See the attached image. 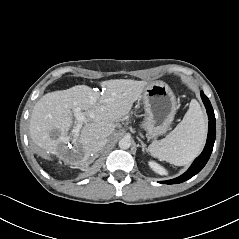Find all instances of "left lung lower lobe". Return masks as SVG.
<instances>
[{
	"label": "left lung lower lobe",
	"mask_w": 239,
	"mask_h": 239,
	"mask_svg": "<svg viewBox=\"0 0 239 239\" xmlns=\"http://www.w3.org/2000/svg\"><path fill=\"white\" fill-rule=\"evenodd\" d=\"M201 97L203 100V103L207 109V114L209 118V125H208V136H207V142L204 147L203 152L195 159V161L192 163L190 168L181 176L167 181H161L160 183H166V184H177L182 183L197 173H199L203 167L206 165L207 161L209 160V157L211 155V152L213 150L215 137H216V122H215V115L213 108L211 106V103L207 96L201 91Z\"/></svg>",
	"instance_id": "1"
}]
</instances>
